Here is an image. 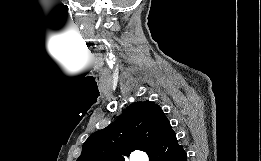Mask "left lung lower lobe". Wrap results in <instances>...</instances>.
Here are the masks:
<instances>
[{"mask_svg": "<svg viewBox=\"0 0 261 161\" xmlns=\"http://www.w3.org/2000/svg\"><path fill=\"white\" fill-rule=\"evenodd\" d=\"M160 161H187L186 152L182 145L177 143L176 135L173 132L169 137L157 147ZM149 161H156V154L152 151L148 154Z\"/></svg>", "mask_w": 261, "mask_h": 161, "instance_id": "obj_1", "label": "left lung lower lobe"}]
</instances>
